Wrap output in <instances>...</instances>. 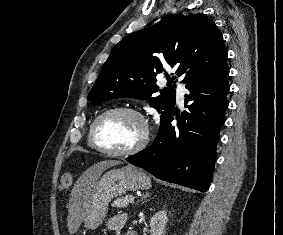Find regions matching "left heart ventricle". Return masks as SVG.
Listing matches in <instances>:
<instances>
[{
	"label": "left heart ventricle",
	"mask_w": 283,
	"mask_h": 235,
	"mask_svg": "<svg viewBox=\"0 0 283 235\" xmlns=\"http://www.w3.org/2000/svg\"><path fill=\"white\" fill-rule=\"evenodd\" d=\"M143 132L141 122L128 113H114L105 117L98 125V143L113 151L126 150L134 146Z\"/></svg>",
	"instance_id": "1"
}]
</instances>
